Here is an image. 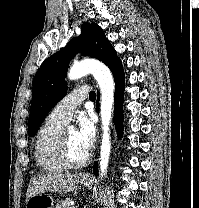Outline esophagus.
<instances>
[{
  "instance_id": "obj_1",
  "label": "esophagus",
  "mask_w": 199,
  "mask_h": 208,
  "mask_svg": "<svg viewBox=\"0 0 199 208\" xmlns=\"http://www.w3.org/2000/svg\"><path fill=\"white\" fill-rule=\"evenodd\" d=\"M90 177H91V176H90L89 174H84V175H83V178H84V179H88V178H90Z\"/></svg>"
}]
</instances>
